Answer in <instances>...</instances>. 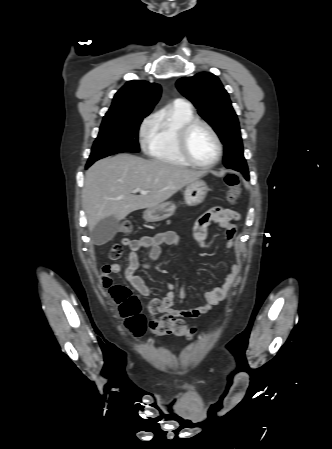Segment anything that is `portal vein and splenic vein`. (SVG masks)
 Wrapping results in <instances>:
<instances>
[{
    "label": "portal vein and splenic vein",
    "instance_id": "1",
    "mask_svg": "<svg viewBox=\"0 0 332 449\" xmlns=\"http://www.w3.org/2000/svg\"><path fill=\"white\" fill-rule=\"evenodd\" d=\"M133 192H134V193L140 192V193L143 194V195H146V194L148 193V191H144V190L139 189V188L134 189Z\"/></svg>",
    "mask_w": 332,
    "mask_h": 449
}]
</instances>
